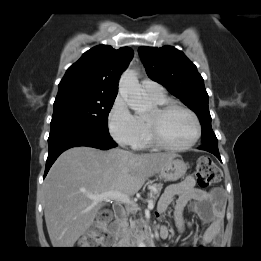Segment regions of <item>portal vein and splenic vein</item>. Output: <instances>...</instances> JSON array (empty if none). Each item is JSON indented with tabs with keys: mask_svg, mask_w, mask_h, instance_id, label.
<instances>
[{
	"mask_svg": "<svg viewBox=\"0 0 261 261\" xmlns=\"http://www.w3.org/2000/svg\"><path fill=\"white\" fill-rule=\"evenodd\" d=\"M88 198L94 201H109V200H117L124 203H131L130 197L118 192V191H108L101 194H88ZM154 208V202L149 200L148 209L152 210Z\"/></svg>",
	"mask_w": 261,
	"mask_h": 261,
	"instance_id": "1",
	"label": "portal vein and splenic vein"
}]
</instances>
